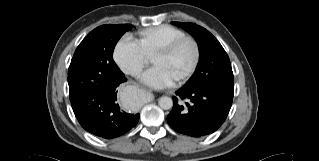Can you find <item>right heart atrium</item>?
Listing matches in <instances>:
<instances>
[{
    "instance_id": "1",
    "label": "right heart atrium",
    "mask_w": 319,
    "mask_h": 161,
    "mask_svg": "<svg viewBox=\"0 0 319 161\" xmlns=\"http://www.w3.org/2000/svg\"><path fill=\"white\" fill-rule=\"evenodd\" d=\"M113 57L118 67L130 75H138L147 63V58L137 42L124 36L113 48Z\"/></svg>"
}]
</instances>
